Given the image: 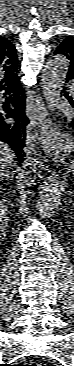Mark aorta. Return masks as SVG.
<instances>
[{
    "mask_svg": "<svg viewBox=\"0 0 74 366\" xmlns=\"http://www.w3.org/2000/svg\"><path fill=\"white\" fill-rule=\"evenodd\" d=\"M68 69L69 60L62 54L53 55L46 63L42 88L46 101L53 107L60 98ZM38 189L37 209L42 218H48L54 213L60 201L61 188L58 174L51 171L43 179Z\"/></svg>",
    "mask_w": 74,
    "mask_h": 366,
    "instance_id": "1",
    "label": "aorta"
}]
</instances>
